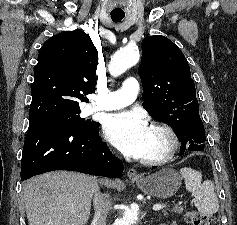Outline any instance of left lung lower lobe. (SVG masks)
Returning <instances> with one entry per match:
<instances>
[{"instance_id":"0a47b994","label":"left lung lower lobe","mask_w":237,"mask_h":225,"mask_svg":"<svg viewBox=\"0 0 237 225\" xmlns=\"http://www.w3.org/2000/svg\"><path fill=\"white\" fill-rule=\"evenodd\" d=\"M181 142L180 155L186 149L190 151H203L205 148V132L199 114L192 117L189 123L176 133ZM156 168V167H153Z\"/></svg>"}]
</instances>
